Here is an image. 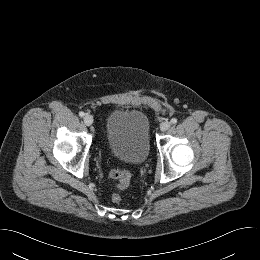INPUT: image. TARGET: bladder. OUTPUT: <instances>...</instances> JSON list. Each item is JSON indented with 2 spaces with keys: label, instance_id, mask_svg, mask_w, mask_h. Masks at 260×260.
Returning <instances> with one entry per match:
<instances>
[{
  "label": "bladder",
  "instance_id": "obj_1",
  "mask_svg": "<svg viewBox=\"0 0 260 260\" xmlns=\"http://www.w3.org/2000/svg\"><path fill=\"white\" fill-rule=\"evenodd\" d=\"M106 138L112 154L130 165L143 164L150 153L149 122L135 109H117L106 124Z\"/></svg>",
  "mask_w": 260,
  "mask_h": 260
}]
</instances>
